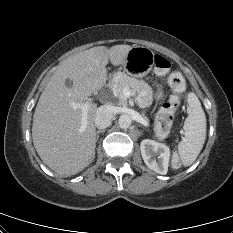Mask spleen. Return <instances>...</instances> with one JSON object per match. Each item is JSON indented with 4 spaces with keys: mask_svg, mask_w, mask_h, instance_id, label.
Here are the masks:
<instances>
[{
    "mask_svg": "<svg viewBox=\"0 0 233 233\" xmlns=\"http://www.w3.org/2000/svg\"><path fill=\"white\" fill-rule=\"evenodd\" d=\"M188 117L184 122V137L178 144V155L172 164L178 168L180 160L184 166L194 163L200 154L206 139V117L201 103L195 93L188 94Z\"/></svg>",
    "mask_w": 233,
    "mask_h": 233,
    "instance_id": "3e777b00",
    "label": "spleen"
}]
</instances>
